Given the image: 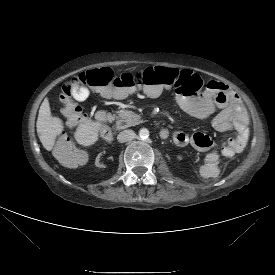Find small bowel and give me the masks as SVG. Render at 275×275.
<instances>
[{"mask_svg":"<svg viewBox=\"0 0 275 275\" xmlns=\"http://www.w3.org/2000/svg\"><path fill=\"white\" fill-rule=\"evenodd\" d=\"M179 105L190 115L198 119L211 117L213 128L219 132L232 134L235 153L241 152L249 138V119L239 96L227 85L218 81H210L201 94L184 93L177 97ZM168 131L166 137L179 144L192 143L197 152L202 155V163L199 167L201 176L212 180L220 176L221 155L214 149V141L211 136L197 132L187 134L182 131Z\"/></svg>","mask_w":275,"mask_h":275,"instance_id":"small-bowel-1","label":"small bowel"}]
</instances>
